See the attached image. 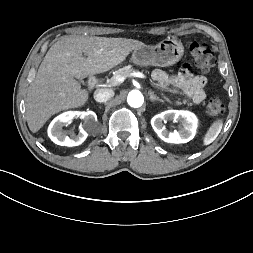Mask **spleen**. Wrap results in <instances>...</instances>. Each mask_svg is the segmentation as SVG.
<instances>
[{"mask_svg":"<svg viewBox=\"0 0 253 253\" xmlns=\"http://www.w3.org/2000/svg\"><path fill=\"white\" fill-rule=\"evenodd\" d=\"M222 126H223L222 120L215 121L206 132L203 138V144L204 145L211 144L221 132Z\"/></svg>","mask_w":253,"mask_h":253,"instance_id":"spleen-1","label":"spleen"}]
</instances>
